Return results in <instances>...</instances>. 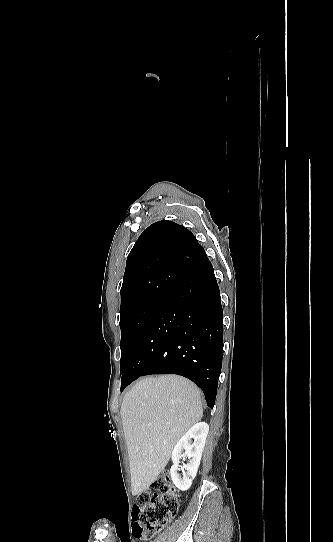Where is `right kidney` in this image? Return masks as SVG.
Wrapping results in <instances>:
<instances>
[{
  "instance_id": "1",
  "label": "right kidney",
  "mask_w": 333,
  "mask_h": 542,
  "mask_svg": "<svg viewBox=\"0 0 333 542\" xmlns=\"http://www.w3.org/2000/svg\"><path fill=\"white\" fill-rule=\"evenodd\" d=\"M208 432V424H206V422H198V424L192 426V428L180 438L172 452L171 458L173 466H171L170 474L173 484H175L176 488L181 490V492L189 490L194 478H196ZM181 458H189L188 464L179 466V460H181ZM178 468H184V470H186V474L183 478H180L179 474H177Z\"/></svg>"
}]
</instances>
